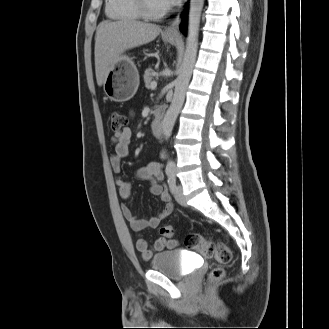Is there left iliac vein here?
Wrapping results in <instances>:
<instances>
[{"label":"left iliac vein","instance_id":"4c4485c4","mask_svg":"<svg viewBox=\"0 0 329 329\" xmlns=\"http://www.w3.org/2000/svg\"><path fill=\"white\" fill-rule=\"evenodd\" d=\"M174 196H175L176 201H177L180 205H182V206H187V202H186V199H185V197H184V195H183V188H182L181 185H178V186L176 187V191H175V193H174Z\"/></svg>","mask_w":329,"mask_h":329}]
</instances>
